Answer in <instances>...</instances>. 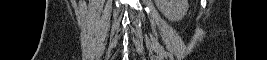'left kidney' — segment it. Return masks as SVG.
<instances>
[{"mask_svg":"<svg viewBox=\"0 0 267 60\" xmlns=\"http://www.w3.org/2000/svg\"><path fill=\"white\" fill-rule=\"evenodd\" d=\"M159 11L169 21H180L186 15L189 4L188 0H155Z\"/></svg>","mask_w":267,"mask_h":60,"instance_id":"obj_1","label":"left kidney"}]
</instances>
